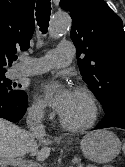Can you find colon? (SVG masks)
Segmentation results:
<instances>
[{"label": "colon", "mask_w": 125, "mask_h": 167, "mask_svg": "<svg viewBox=\"0 0 125 167\" xmlns=\"http://www.w3.org/2000/svg\"><path fill=\"white\" fill-rule=\"evenodd\" d=\"M123 152H124V154H125V142H124V144H123Z\"/></svg>", "instance_id": "colon-1"}]
</instances>
